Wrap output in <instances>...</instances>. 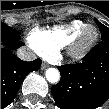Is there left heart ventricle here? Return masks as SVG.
<instances>
[{
	"label": "left heart ventricle",
	"mask_w": 109,
	"mask_h": 109,
	"mask_svg": "<svg viewBox=\"0 0 109 109\" xmlns=\"http://www.w3.org/2000/svg\"><path fill=\"white\" fill-rule=\"evenodd\" d=\"M95 35L94 30H90L88 31V33L86 34L85 38H84V42H88L90 41Z\"/></svg>",
	"instance_id": "left-heart-ventricle-1"
}]
</instances>
